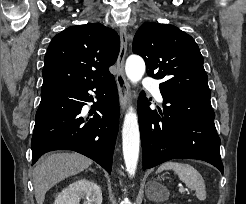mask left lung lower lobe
Listing matches in <instances>:
<instances>
[{
	"label": "left lung lower lobe",
	"mask_w": 246,
	"mask_h": 204,
	"mask_svg": "<svg viewBox=\"0 0 246 204\" xmlns=\"http://www.w3.org/2000/svg\"><path fill=\"white\" fill-rule=\"evenodd\" d=\"M163 114L149 108L144 92L138 100L143 170L178 158L206 161L223 174L220 138L214 125L210 93L161 90Z\"/></svg>",
	"instance_id": "obj_1"
}]
</instances>
